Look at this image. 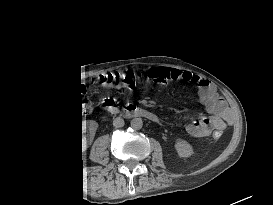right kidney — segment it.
I'll return each instance as SVG.
<instances>
[{"label":"right kidney","mask_w":273,"mask_h":205,"mask_svg":"<svg viewBox=\"0 0 273 205\" xmlns=\"http://www.w3.org/2000/svg\"><path fill=\"white\" fill-rule=\"evenodd\" d=\"M86 127H87V123L84 121L82 123V133H83L82 150H84L88 146V144L92 142L94 135H95V130H96V127L92 123V124H90V132L85 135L84 133H86Z\"/></svg>","instance_id":"right-kidney-1"}]
</instances>
